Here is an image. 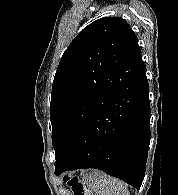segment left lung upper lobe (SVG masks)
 Returning <instances> with one entry per match:
<instances>
[{"mask_svg":"<svg viewBox=\"0 0 178 195\" xmlns=\"http://www.w3.org/2000/svg\"><path fill=\"white\" fill-rule=\"evenodd\" d=\"M144 65L137 37L120 17L98 19L65 50L51 93L56 161L84 124Z\"/></svg>","mask_w":178,"mask_h":195,"instance_id":"left-lung-upper-lobe-1","label":"left lung upper lobe"}]
</instances>
